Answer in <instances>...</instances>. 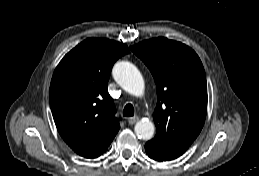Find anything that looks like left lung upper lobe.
I'll use <instances>...</instances> for the list:
<instances>
[{
	"label": "left lung upper lobe",
	"mask_w": 259,
	"mask_h": 176,
	"mask_svg": "<svg viewBox=\"0 0 259 176\" xmlns=\"http://www.w3.org/2000/svg\"><path fill=\"white\" fill-rule=\"evenodd\" d=\"M131 50L146 64L157 85L156 136L146 143L154 155L181 156L199 135L207 112V84L198 55L164 37L142 41Z\"/></svg>",
	"instance_id": "1"
}]
</instances>
